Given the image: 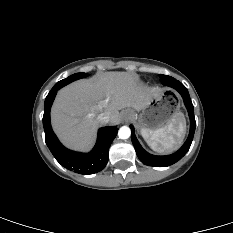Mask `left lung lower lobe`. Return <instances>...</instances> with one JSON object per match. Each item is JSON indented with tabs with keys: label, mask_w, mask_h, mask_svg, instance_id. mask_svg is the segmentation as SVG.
I'll list each match as a JSON object with an SVG mask.
<instances>
[{
	"label": "left lung lower lobe",
	"mask_w": 233,
	"mask_h": 233,
	"mask_svg": "<svg viewBox=\"0 0 233 233\" xmlns=\"http://www.w3.org/2000/svg\"><path fill=\"white\" fill-rule=\"evenodd\" d=\"M167 86L175 89L181 94L184 100V104L188 110L189 117H190V132H189V136L186 142L177 152L171 155H167V156H155V155L149 154L142 148V146L140 145V143L138 142L135 136L134 127L130 125L131 131H132V134H131L132 143L136 150V154L138 158L140 159V161L143 164L148 165V166L167 167L179 161L188 152L191 146L192 140H193L194 132H195L196 122H195V117H194V108H193L188 90L181 82H179L176 79H173L172 81H170L167 84Z\"/></svg>",
	"instance_id": "left-lung-lower-lobe-1"
}]
</instances>
